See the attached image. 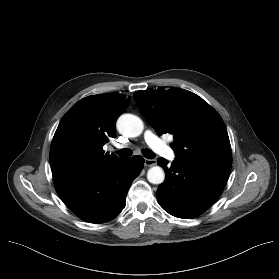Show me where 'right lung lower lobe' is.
Returning <instances> with one entry per match:
<instances>
[{"label": "right lung lower lobe", "instance_id": "1", "mask_svg": "<svg viewBox=\"0 0 279 279\" xmlns=\"http://www.w3.org/2000/svg\"><path fill=\"white\" fill-rule=\"evenodd\" d=\"M144 164L141 156L120 159L112 166L80 179L55 186L62 201L82 220L104 223L114 219L126 205L132 181Z\"/></svg>", "mask_w": 279, "mask_h": 279}]
</instances>
